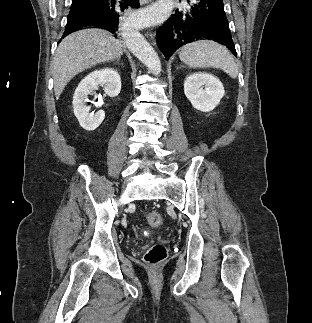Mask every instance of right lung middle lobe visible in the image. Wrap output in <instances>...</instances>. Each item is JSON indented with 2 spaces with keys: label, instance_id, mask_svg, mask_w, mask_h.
<instances>
[{
  "label": "right lung middle lobe",
  "instance_id": "dd1d6c3e",
  "mask_svg": "<svg viewBox=\"0 0 312 323\" xmlns=\"http://www.w3.org/2000/svg\"><path fill=\"white\" fill-rule=\"evenodd\" d=\"M81 1H85V0H72V6L77 5Z\"/></svg>",
  "mask_w": 312,
  "mask_h": 323
}]
</instances>
